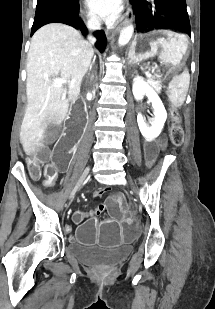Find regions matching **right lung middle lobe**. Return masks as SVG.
<instances>
[{"mask_svg": "<svg viewBox=\"0 0 215 309\" xmlns=\"http://www.w3.org/2000/svg\"><path fill=\"white\" fill-rule=\"evenodd\" d=\"M78 0H37L35 19L32 28H36L37 21L54 15L75 16L78 14Z\"/></svg>", "mask_w": 215, "mask_h": 309, "instance_id": "obj_1", "label": "right lung middle lobe"}]
</instances>
